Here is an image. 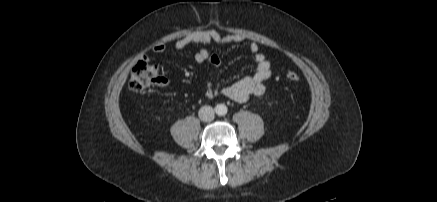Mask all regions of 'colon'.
<instances>
[{
  "instance_id": "colon-1",
  "label": "colon",
  "mask_w": 437,
  "mask_h": 202,
  "mask_svg": "<svg viewBox=\"0 0 437 202\" xmlns=\"http://www.w3.org/2000/svg\"><path fill=\"white\" fill-rule=\"evenodd\" d=\"M291 82H297L300 77L298 73L289 71L285 75ZM165 82L157 65L149 64L146 61H139L132 69L129 86L135 92L143 91L151 86L163 84Z\"/></svg>"
}]
</instances>
